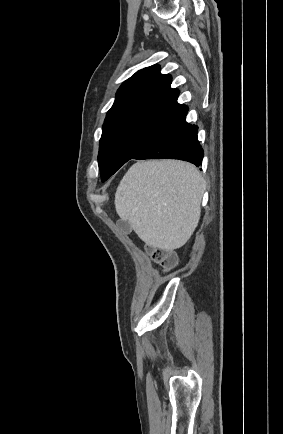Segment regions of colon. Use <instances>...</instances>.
Instances as JSON below:
<instances>
[{"instance_id":"colon-1","label":"colon","mask_w":283,"mask_h":434,"mask_svg":"<svg viewBox=\"0 0 283 434\" xmlns=\"http://www.w3.org/2000/svg\"><path fill=\"white\" fill-rule=\"evenodd\" d=\"M150 253L153 261L159 264L164 270H169L176 264V257L171 251L153 248L150 250Z\"/></svg>"}]
</instances>
